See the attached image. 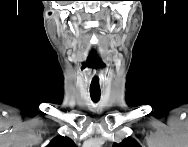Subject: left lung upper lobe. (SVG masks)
<instances>
[{"mask_svg":"<svg viewBox=\"0 0 188 147\" xmlns=\"http://www.w3.org/2000/svg\"><path fill=\"white\" fill-rule=\"evenodd\" d=\"M114 147H139V144L134 139L127 138L120 144H114Z\"/></svg>","mask_w":188,"mask_h":147,"instance_id":"left-lung-upper-lobe-1","label":"left lung upper lobe"}]
</instances>
